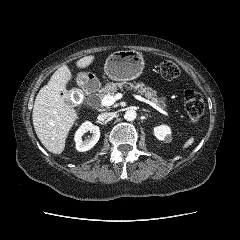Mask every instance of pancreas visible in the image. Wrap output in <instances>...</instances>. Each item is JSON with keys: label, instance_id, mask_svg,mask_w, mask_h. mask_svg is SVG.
<instances>
[{"label": "pancreas", "instance_id": "pancreas-1", "mask_svg": "<svg viewBox=\"0 0 240 240\" xmlns=\"http://www.w3.org/2000/svg\"><path fill=\"white\" fill-rule=\"evenodd\" d=\"M123 87H126L127 89L136 90L140 95H143L146 98L150 99L152 102H154L161 108L166 107L165 98H157L156 91L139 82L135 84L127 82L121 83L109 82L104 86V88L99 90V93L96 94V96L100 100L106 95L114 96L118 90H123ZM96 106H99V104H97Z\"/></svg>", "mask_w": 240, "mask_h": 240}]
</instances>
